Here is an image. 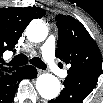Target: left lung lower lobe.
I'll return each mask as SVG.
<instances>
[{"label":"left lung lower lobe","instance_id":"0a47b994","mask_svg":"<svg viewBox=\"0 0 103 103\" xmlns=\"http://www.w3.org/2000/svg\"><path fill=\"white\" fill-rule=\"evenodd\" d=\"M98 77L68 75L61 94L49 103H81L94 89Z\"/></svg>","mask_w":103,"mask_h":103}]
</instances>
